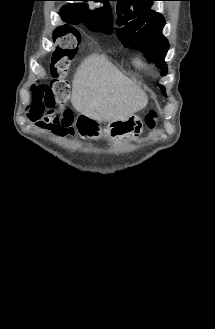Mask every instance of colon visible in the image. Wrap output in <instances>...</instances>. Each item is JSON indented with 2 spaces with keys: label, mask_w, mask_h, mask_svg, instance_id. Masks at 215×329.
<instances>
[{
  "label": "colon",
  "mask_w": 215,
  "mask_h": 329,
  "mask_svg": "<svg viewBox=\"0 0 215 329\" xmlns=\"http://www.w3.org/2000/svg\"><path fill=\"white\" fill-rule=\"evenodd\" d=\"M56 50L52 56L51 66L45 71L51 74H43V81H34L30 114H70V107H67L69 85L65 79L70 62L74 57L75 49H80L83 44L81 31L78 25H60L53 31ZM52 81V83H51ZM156 113L151 111L145 118L148 128L156 125ZM70 124V120H66Z\"/></svg>",
  "instance_id": "obj_1"
}]
</instances>
